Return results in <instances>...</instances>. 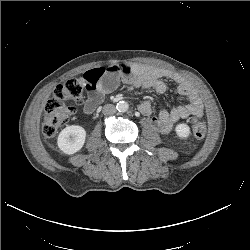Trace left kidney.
Wrapping results in <instances>:
<instances>
[{"instance_id": "5707ae66", "label": "left kidney", "mask_w": 250, "mask_h": 250, "mask_svg": "<svg viewBox=\"0 0 250 250\" xmlns=\"http://www.w3.org/2000/svg\"><path fill=\"white\" fill-rule=\"evenodd\" d=\"M175 131H176L177 136L179 138H182V139L188 138V136L190 134V128L185 123H180V124L176 125Z\"/></svg>"}]
</instances>
